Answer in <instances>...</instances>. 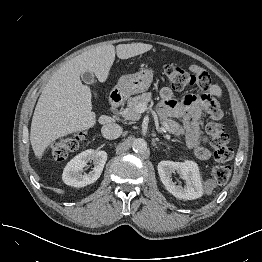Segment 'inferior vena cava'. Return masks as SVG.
Masks as SVG:
<instances>
[{
  "label": "inferior vena cava",
  "instance_id": "obj_1",
  "mask_svg": "<svg viewBox=\"0 0 262 262\" xmlns=\"http://www.w3.org/2000/svg\"><path fill=\"white\" fill-rule=\"evenodd\" d=\"M101 133L106 139H116L122 133V128L116 123H108L101 128Z\"/></svg>",
  "mask_w": 262,
  "mask_h": 262
}]
</instances>
